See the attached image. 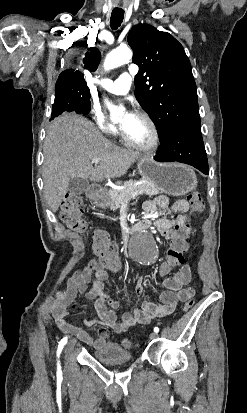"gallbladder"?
I'll return each mask as SVG.
<instances>
[{"label": "gallbladder", "mask_w": 247, "mask_h": 413, "mask_svg": "<svg viewBox=\"0 0 247 413\" xmlns=\"http://www.w3.org/2000/svg\"><path fill=\"white\" fill-rule=\"evenodd\" d=\"M89 186V180L87 178H81V176H75V178H70L68 184V190L71 196H79L83 194L86 188Z\"/></svg>", "instance_id": "bac80fb5"}]
</instances>
